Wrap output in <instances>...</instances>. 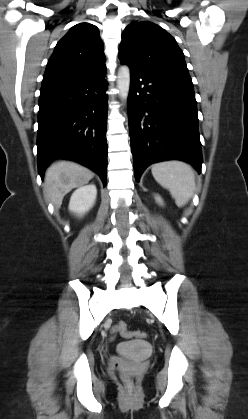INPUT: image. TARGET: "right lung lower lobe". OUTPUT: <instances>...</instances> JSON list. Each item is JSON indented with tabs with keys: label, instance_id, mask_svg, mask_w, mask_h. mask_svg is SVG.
<instances>
[{
	"label": "right lung lower lobe",
	"instance_id": "obj_1",
	"mask_svg": "<svg viewBox=\"0 0 248 419\" xmlns=\"http://www.w3.org/2000/svg\"><path fill=\"white\" fill-rule=\"evenodd\" d=\"M106 68L73 82L42 86L38 114V170L62 157L77 161L101 177L107 171Z\"/></svg>",
	"mask_w": 248,
	"mask_h": 419
}]
</instances>
